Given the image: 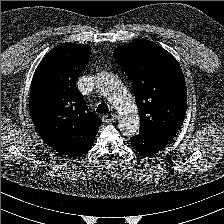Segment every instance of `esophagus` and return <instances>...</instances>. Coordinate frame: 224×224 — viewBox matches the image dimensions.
<instances>
[{
    "instance_id": "1",
    "label": "esophagus",
    "mask_w": 224,
    "mask_h": 224,
    "mask_svg": "<svg viewBox=\"0 0 224 224\" xmlns=\"http://www.w3.org/2000/svg\"><path fill=\"white\" fill-rule=\"evenodd\" d=\"M116 119V115L114 113L105 114L102 117V121L105 123H109Z\"/></svg>"
}]
</instances>
